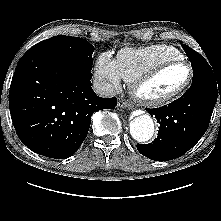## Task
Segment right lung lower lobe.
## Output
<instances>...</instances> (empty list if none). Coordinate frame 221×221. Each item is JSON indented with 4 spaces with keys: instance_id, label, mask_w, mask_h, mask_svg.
<instances>
[{
    "instance_id": "1",
    "label": "right lung lower lobe",
    "mask_w": 221,
    "mask_h": 221,
    "mask_svg": "<svg viewBox=\"0 0 221 221\" xmlns=\"http://www.w3.org/2000/svg\"><path fill=\"white\" fill-rule=\"evenodd\" d=\"M90 71L39 50L29 49L15 69L9 92L11 118L20 140L50 158L74 154L87 136L91 116L113 109L91 87Z\"/></svg>"
}]
</instances>
